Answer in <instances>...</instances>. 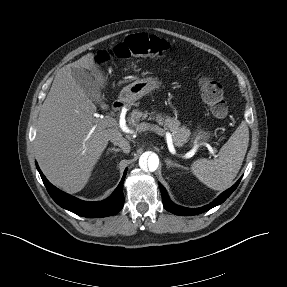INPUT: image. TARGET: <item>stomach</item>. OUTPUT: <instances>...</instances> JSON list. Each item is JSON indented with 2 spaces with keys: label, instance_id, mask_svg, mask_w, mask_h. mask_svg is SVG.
<instances>
[{
  "label": "stomach",
  "instance_id": "stomach-1",
  "mask_svg": "<svg viewBox=\"0 0 287 287\" xmlns=\"http://www.w3.org/2000/svg\"><path fill=\"white\" fill-rule=\"evenodd\" d=\"M161 82L157 77H146L143 79H137L133 83L125 86L119 95V99L127 104L132 105L135 101L142 98L144 95L149 93L156 88H159ZM210 134L204 130H198L195 134V139L197 142L207 141Z\"/></svg>",
  "mask_w": 287,
  "mask_h": 287
}]
</instances>
